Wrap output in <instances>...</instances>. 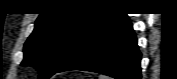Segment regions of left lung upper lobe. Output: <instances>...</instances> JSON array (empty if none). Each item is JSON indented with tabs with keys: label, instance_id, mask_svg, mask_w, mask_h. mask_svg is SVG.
Wrapping results in <instances>:
<instances>
[{
	"label": "left lung upper lobe",
	"instance_id": "5c2ea615",
	"mask_svg": "<svg viewBox=\"0 0 177 79\" xmlns=\"http://www.w3.org/2000/svg\"><path fill=\"white\" fill-rule=\"evenodd\" d=\"M108 13L98 11H60L42 13L24 45L22 65L39 70L40 79L57 72L75 46L94 29Z\"/></svg>",
	"mask_w": 177,
	"mask_h": 79
}]
</instances>
